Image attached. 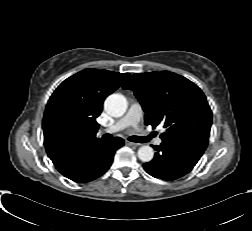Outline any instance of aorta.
I'll use <instances>...</instances> for the list:
<instances>
[{"instance_id": "obj_1", "label": "aorta", "mask_w": 252, "mask_h": 231, "mask_svg": "<svg viewBox=\"0 0 252 231\" xmlns=\"http://www.w3.org/2000/svg\"><path fill=\"white\" fill-rule=\"evenodd\" d=\"M127 108L126 98L121 94H111L104 102V109L112 117H121ZM154 157L152 147L145 145L138 149V158L143 162H150Z\"/></svg>"}]
</instances>
